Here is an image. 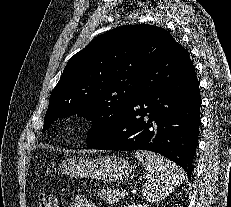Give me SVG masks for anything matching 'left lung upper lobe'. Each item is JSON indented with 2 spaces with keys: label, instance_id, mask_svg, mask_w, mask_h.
Instances as JSON below:
<instances>
[{
  "label": "left lung upper lobe",
  "instance_id": "left-lung-upper-lobe-1",
  "mask_svg": "<svg viewBox=\"0 0 231 207\" xmlns=\"http://www.w3.org/2000/svg\"><path fill=\"white\" fill-rule=\"evenodd\" d=\"M165 29L125 25L98 36L68 61L53 89L42 131L58 118L79 114L92 121L87 147L116 128L140 94L143 74L174 44Z\"/></svg>",
  "mask_w": 231,
  "mask_h": 207
}]
</instances>
